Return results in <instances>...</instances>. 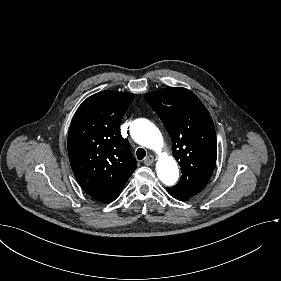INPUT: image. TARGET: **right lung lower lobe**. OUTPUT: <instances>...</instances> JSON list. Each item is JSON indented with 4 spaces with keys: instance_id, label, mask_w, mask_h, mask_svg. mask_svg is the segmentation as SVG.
<instances>
[{
    "instance_id": "1",
    "label": "right lung lower lobe",
    "mask_w": 281,
    "mask_h": 281,
    "mask_svg": "<svg viewBox=\"0 0 281 281\" xmlns=\"http://www.w3.org/2000/svg\"><path fill=\"white\" fill-rule=\"evenodd\" d=\"M123 188H124V187H123ZM123 188H122V189H123ZM122 189H120L119 191L115 192L113 195H111L110 197H108V198L106 199V201H104L103 203H109V202L114 201V200L119 196V194L121 193Z\"/></svg>"
}]
</instances>
